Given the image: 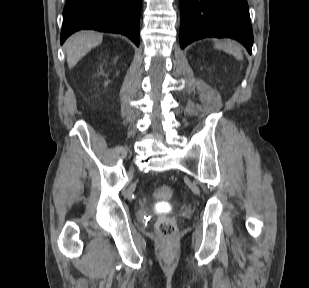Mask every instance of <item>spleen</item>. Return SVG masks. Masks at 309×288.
<instances>
[{
  "label": "spleen",
  "instance_id": "obj_1",
  "mask_svg": "<svg viewBox=\"0 0 309 288\" xmlns=\"http://www.w3.org/2000/svg\"><path fill=\"white\" fill-rule=\"evenodd\" d=\"M215 45H216V47L223 49L227 53L232 54L238 60L243 59L241 47L238 43L228 40V41H224V42H217Z\"/></svg>",
  "mask_w": 309,
  "mask_h": 288
}]
</instances>
